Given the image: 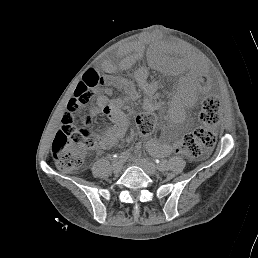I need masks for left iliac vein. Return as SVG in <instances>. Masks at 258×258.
<instances>
[{"mask_svg": "<svg viewBox=\"0 0 258 258\" xmlns=\"http://www.w3.org/2000/svg\"><path fill=\"white\" fill-rule=\"evenodd\" d=\"M137 165H139L149 175H153L157 172L156 165L147 159H138Z\"/></svg>", "mask_w": 258, "mask_h": 258, "instance_id": "left-iliac-vein-1", "label": "left iliac vein"}]
</instances>
